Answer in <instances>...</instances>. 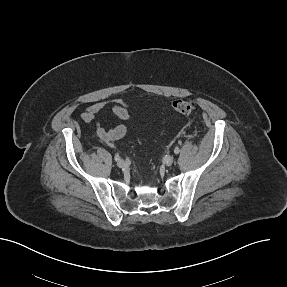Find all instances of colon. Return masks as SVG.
Segmentation results:
<instances>
[{"instance_id": "5ec220e1", "label": "colon", "mask_w": 287, "mask_h": 287, "mask_svg": "<svg viewBox=\"0 0 287 287\" xmlns=\"http://www.w3.org/2000/svg\"><path fill=\"white\" fill-rule=\"evenodd\" d=\"M172 106L177 113L182 115H190L197 111V105L190 100H175Z\"/></svg>"}]
</instances>
